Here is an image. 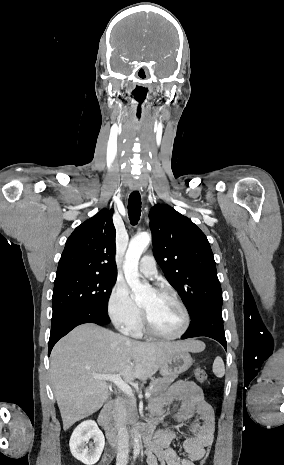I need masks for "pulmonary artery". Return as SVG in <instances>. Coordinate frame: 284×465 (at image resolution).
Segmentation results:
<instances>
[{
  "label": "pulmonary artery",
  "instance_id": "pulmonary-artery-1",
  "mask_svg": "<svg viewBox=\"0 0 284 465\" xmlns=\"http://www.w3.org/2000/svg\"><path fill=\"white\" fill-rule=\"evenodd\" d=\"M154 254H143L142 261L138 266L139 273L146 278L153 279L157 275Z\"/></svg>",
  "mask_w": 284,
  "mask_h": 465
}]
</instances>
